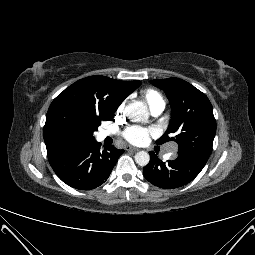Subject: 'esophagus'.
<instances>
[{
  "instance_id": "1",
  "label": "esophagus",
  "mask_w": 255,
  "mask_h": 255,
  "mask_svg": "<svg viewBox=\"0 0 255 255\" xmlns=\"http://www.w3.org/2000/svg\"><path fill=\"white\" fill-rule=\"evenodd\" d=\"M126 151H131V152H137L139 149L131 146H127L125 148Z\"/></svg>"
}]
</instances>
